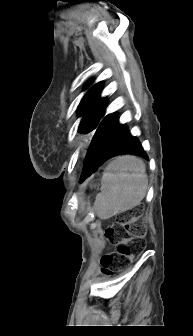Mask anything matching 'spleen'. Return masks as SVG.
Returning <instances> with one entry per match:
<instances>
[{"label": "spleen", "instance_id": "spleen-1", "mask_svg": "<svg viewBox=\"0 0 193 336\" xmlns=\"http://www.w3.org/2000/svg\"><path fill=\"white\" fill-rule=\"evenodd\" d=\"M147 186L144 162L134 156H119L103 173L94 210L103 220L130 210L145 197Z\"/></svg>", "mask_w": 193, "mask_h": 336}]
</instances>
